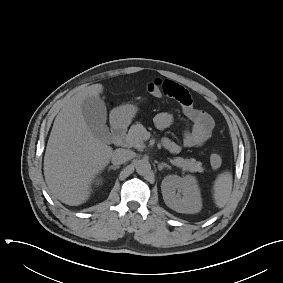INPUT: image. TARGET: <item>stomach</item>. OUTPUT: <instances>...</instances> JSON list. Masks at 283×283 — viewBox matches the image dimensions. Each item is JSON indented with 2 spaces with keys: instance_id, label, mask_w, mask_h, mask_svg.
Segmentation results:
<instances>
[{
  "instance_id": "0dacf381",
  "label": "stomach",
  "mask_w": 283,
  "mask_h": 283,
  "mask_svg": "<svg viewBox=\"0 0 283 283\" xmlns=\"http://www.w3.org/2000/svg\"><path fill=\"white\" fill-rule=\"evenodd\" d=\"M137 107L132 104L122 105L114 111L115 122L119 125H127L135 117Z\"/></svg>"
}]
</instances>
